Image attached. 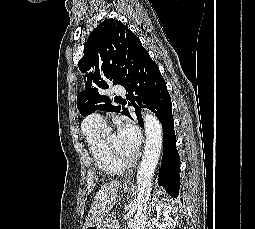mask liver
I'll use <instances>...</instances> for the list:
<instances>
[{
    "mask_svg": "<svg viewBox=\"0 0 255 229\" xmlns=\"http://www.w3.org/2000/svg\"><path fill=\"white\" fill-rule=\"evenodd\" d=\"M119 188V181H111L101 187L94 197L85 227L100 221L108 214L117 202Z\"/></svg>",
    "mask_w": 255,
    "mask_h": 229,
    "instance_id": "liver-1",
    "label": "liver"
}]
</instances>
